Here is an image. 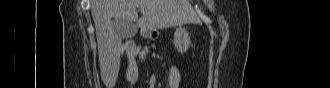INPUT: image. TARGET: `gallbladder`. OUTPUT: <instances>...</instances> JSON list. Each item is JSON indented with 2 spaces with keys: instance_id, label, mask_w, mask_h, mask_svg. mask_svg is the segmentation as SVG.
Returning <instances> with one entry per match:
<instances>
[{
  "instance_id": "gallbladder-1",
  "label": "gallbladder",
  "mask_w": 330,
  "mask_h": 88,
  "mask_svg": "<svg viewBox=\"0 0 330 88\" xmlns=\"http://www.w3.org/2000/svg\"><path fill=\"white\" fill-rule=\"evenodd\" d=\"M114 28L121 35L123 39H130L135 36L137 30L136 26L132 22H124L116 20L114 22Z\"/></svg>"
}]
</instances>
